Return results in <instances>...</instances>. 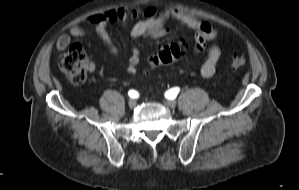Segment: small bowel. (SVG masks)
Returning <instances> with one entry per match:
<instances>
[{"mask_svg":"<svg viewBox=\"0 0 299 190\" xmlns=\"http://www.w3.org/2000/svg\"><path fill=\"white\" fill-rule=\"evenodd\" d=\"M131 19L138 21L126 37L129 43L138 37L162 36L167 32L165 28L166 21L172 19L194 32L195 47L193 52L195 56H198L204 50L208 40L215 38L218 34L217 29L210 23L170 7L163 9L161 12L150 5L131 9L113 8L105 12L94 13L87 18L88 22L94 25L96 33L115 56H118L119 50L108 32V25L116 22H127ZM84 34L82 28L72 27L69 35L59 38L56 44L57 49H66L71 43V36L82 37ZM131 48L132 55L126 70L129 74H137L139 72V51L134 45H131ZM221 55L222 52L219 46L213 45L209 48L207 58L200 69L203 77L209 78L215 73ZM94 68L93 62H87L88 70L92 71Z\"/></svg>","mask_w":299,"mask_h":190,"instance_id":"c3829d8e","label":"small bowel"}]
</instances>
